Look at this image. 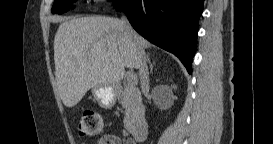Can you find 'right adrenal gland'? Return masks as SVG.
<instances>
[{"label":"right adrenal gland","instance_id":"right-adrenal-gland-1","mask_svg":"<svg viewBox=\"0 0 273 144\" xmlns=\"http://www.w3.org/2000/svg\"><path fill=\"white\" fill-rule=\"evenodd\" d=\"M146 58H147V61H148V63H149V66H150V71H151V73H152V70H153V64H154V63H151V61H150V57H149V53L147 54Z\"/></svg>","mask_w":273,"mask_h":144}]
</instances>
